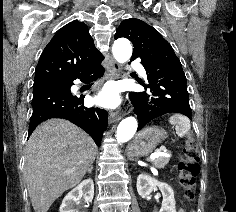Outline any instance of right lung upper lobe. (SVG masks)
Returning a JSON list of instances; mask_svg holds the SVG:
<instances>
[{"instance_id":"1","label":"right lung upper lobe","mask_w":236,"mask_h":212,"mask_svg":"<svg viewBox=\"0 0 236 212\" xmlns=\"http://www.w3.org/2000/svg\"><path fill=\"white\" fill-rule=\"evenodd\" d=\"M103 59L87 25L73 21L62 27L43 50L36 66L34 82L67 81Z\"/></svg>"}]
</instances>
